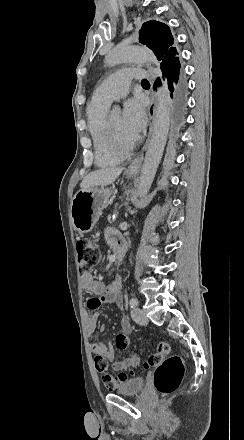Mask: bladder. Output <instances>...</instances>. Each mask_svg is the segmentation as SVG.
I'll return each instance as SVG.
<instances>
[{
	"mask_svg": "<svg viewBox=\"0 0 244 440\" xmlns=\"http://www.w3.org/2000/svg\"><path fill=\"white\" fill-rule=\"evenodd\" d=\"M145 380L139 377H131L122 386L115 388L118 394H139L144 388Z\"/></svg>",
	"mask_w": 244,
	"mask_h": 440,
	"instance_id": "bladder-1",
	"label": "bladder"
}]
</instances>
